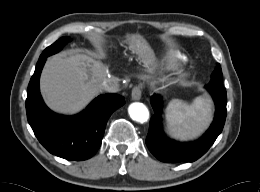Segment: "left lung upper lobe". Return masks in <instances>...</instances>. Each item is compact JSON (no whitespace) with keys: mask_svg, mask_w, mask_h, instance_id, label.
I'll list each match as a JSON object with an SVG mask.
<instances>
[{"mask_svg":"<svg viewBox=\"0 0 260 192\" xmlns=\"http://www.w3.org/2000/svg\"><path fill=\"white\" fill-rule=\"evenodd\" d=\"M223 83V76L222 70L220 65L218 64L215 71L211 75V81L209 84H222Z\"/></svg>","mask_w":260,"mask_h":192,"instance_id":"5c2ea615","label":"left lung upper lobe"}]
</instances>
